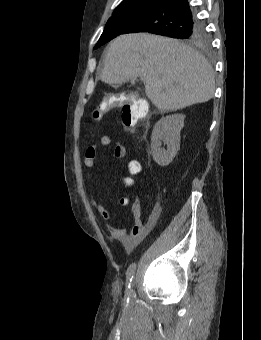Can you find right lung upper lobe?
I'll list each match as a JSON object with an SVG mask.
<instances>
[{"label":"right lung upper lobe","instance_id":"cb5924a9","mask_svg":"<svg viewBox=\"0 0 261 340\" xmlns=\"http://www.w3.org/2000/svg\"><path fill=\"white\" fill-rule=\"evenodd\" d=\"M141 1H150V2H157L159 3L161 0H123L120 5L134 3V2H141Z\"/></svg>","mask_w":261,"mask_h":340}]
</instances>
